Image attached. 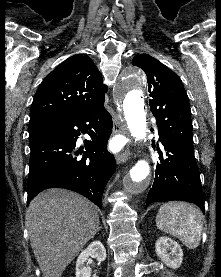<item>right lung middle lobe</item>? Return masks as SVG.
<instances>
[{"label": "right lung middle lobe", "instance_id": "right-lung-middle-lobe-1", "mask_svg": "<svg viewBox=\"0 0 221 277\" xmlns=\"http://www.w3.org/2000/svg\"><path fill=\"white\" fill-rule=\"evenodd\" d=\"M45 129L37 125H29V143L30 145L41 139L45 135Z\"/></svg>", "mask_w": 221, "mask_h": 277}]
</instances>
